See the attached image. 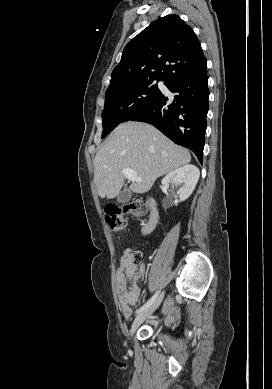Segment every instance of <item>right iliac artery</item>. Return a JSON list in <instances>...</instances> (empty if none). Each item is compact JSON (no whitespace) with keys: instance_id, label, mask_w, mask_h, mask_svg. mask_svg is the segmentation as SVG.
<instances>
[{"instance_id":"1","label":"right iliac artery","mask_w":272,"mask_h":389,"mask_svg":"<svg viewBox=\"0 0 272 389\" xmlns=\"http://www.w3.org/2000/svg\"><path fill=\"white\" fill-rule=\"evenodd\" d=\"M159 295V291H157L143 306H141L137 311H136V314H139L141 313L142 311H144L145 309H147L150 305H152L154 303V301L156 300V298L158 297Z\"/></svg>"}]
</instances>
